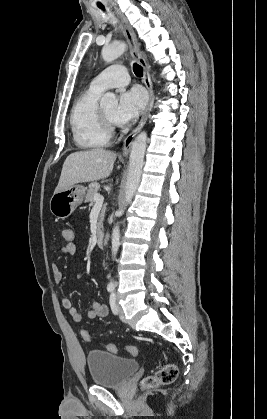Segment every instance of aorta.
I'll return each mask as SVG.
<instances>
[{
    "mask_svg": "<svg viewBox=\"0 0 267 419\" xmlns=\"http://www.w3.org/2000/svg\"><path fill=\"white\" fill-rule=\"evenodd\" d=\"M126 46L124 43H115L109 46H105L102 49V58L106 62H112L120 55L124 53ZM118 103L116 96L113 93H106L103 95L100 101V105L103 107L106 106H116ZM146 132H141L137 135L134 142L132 143L130 157H129V169L128 176L125 186V196H124V207L118 211V214L122 216L126 206L131 202L141 179L142 168L144 165V155L146 151ZM120 246V229L116 225L112 231V256L113 259L116 257ZM109 285H113L112 282Z\"/></svg>",
    "mask_w": 267,
    "mask_h": 419,
    "instance_id": "obj_1",
    "label": "aorta"
}]
</instances>
